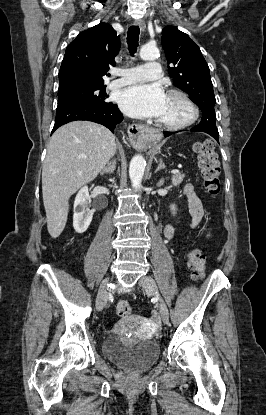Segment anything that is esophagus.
<instances>
[{"mask_svg": "<svg viewBox=\"0 0 266 415\" xmlns=\"http://www.w3.org/2000/svg\"><path fill=\"white\" fill-rule=\"evenodd\" d=\"M135 26H138L141 31L145 29V23L142 19H138L134 22ZM148 127L144 125H131L128 129L129 141L133 146H141L145 143L146 133L148 132Z\"/></svg>", "mask_w": 266, "mask_h": 415, "instance_id": "esophagus-1", "label": "esophagus"}]
</instances>
